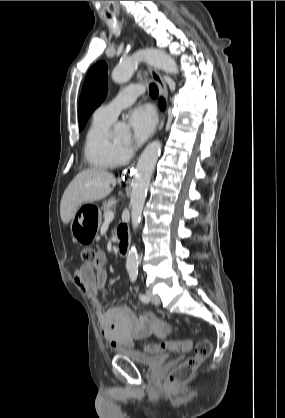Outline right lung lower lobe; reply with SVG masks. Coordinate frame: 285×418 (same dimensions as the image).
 <instances>
[{
    "mask_svg": "<svg viewBox=\"0 0 285 418\" xmlns=\"http://www.w3.org/2000/svg\"><path fill=\"white\" fill-rule=\"evenodd\" d=\"M159 104H160L161 108L165 107V102L162 98L159 99Z\"/></svg>",
    "mask_w": 285,
    "mask_h": 418,
    "instance_id": "98d812e1",
    "label": "right lung lower lobe"
}]
</instances>
